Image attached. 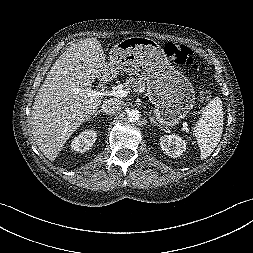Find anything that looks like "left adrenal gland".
<instances>
[{"instance_id":"left-adrenal-gland-1","label":"left adrenal gland","mask_w":253,"mask_h":253,"mask_svg":"<svg viewBox=\"0 0 253 253\" xmlns=\"http://www.w3.org/2000/svg\"><path fill=\"white\" fill-rule=\"evenodd\" d=\"M150 122L151 124L155 125V126H160L157 124V122L154 120V117L153 116H150Z\"/></svg>"}]
</instances>
